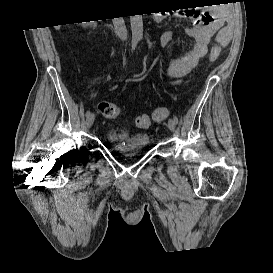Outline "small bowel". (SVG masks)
Wrapping results in <instances>:
<instances>
[{
    "label": "small bowel",
    "mask_w": 273,
    "mask_h": 273,
    "mask_svg": "<svg viewBox=\"0 0 273 273\" xmlns=\"http://www.w3.org/2000/svg\"><path fill=\"white\" fill-rule=\"evenodd\" d=\"M166 16L188 21L189 25L182 30V34L193 41L191 46L168 69V76L177 81L195 69L199 61L206 56L211 41L217 46L224 47L230 40L231 18L224 9H203L190 11L186 14L170 13ZM176 36L175 32H165L160 36V44L169 45Z\"/></svg>",
    "instance_id": "obj_1"
}]
</instances>
